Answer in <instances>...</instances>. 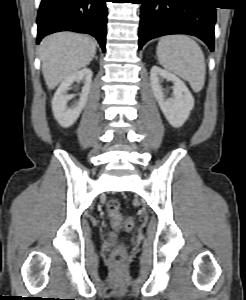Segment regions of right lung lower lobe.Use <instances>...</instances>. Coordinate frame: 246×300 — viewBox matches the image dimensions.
Wrapping results in <instances>:
<instances>
[{
    "label": "right lung lower lobe",
    "instance_id": "1",
    "mask_svg": "<svg viewBox=\"0 0 246 300\" xmlns=\"http://www.w3.org/2000/svg\"><path fill=\"white\" fill-rule=\"evenodd\" d=\"M107 0H42L37 16V43L58 31L94 36L105 52Z\"/></svg>",
    "mask_w": 246,
    "mask_h": 300
}]
</instances>
